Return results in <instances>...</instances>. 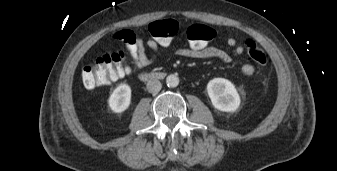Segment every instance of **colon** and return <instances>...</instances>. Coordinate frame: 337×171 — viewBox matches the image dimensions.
<instances>
[{
	"mask_svg": "<svg viewBox=\"0 0 337 171\" xmlns=\"http://www.w3.org/2000/svg\"><path fill=\"white\" fill-rule=\"evenodd\" d=\"M150 35L163 48H170L177 36H183L193 48H201L210 42L215 31L210 26L194 23L183 29L174 19L153 21L148 26ZM248 55L259 65L268 62L264 50L252 39L245 42ZM127 71L126 56L123 52L98 54L82 71V82L87 89L106 86L118 79Z\"/></svg>",
	"mask_w": 337,
	"mask_h": 171,
	"instance_id": "colon-1",
	"label": "colon"
}]
</instances>
